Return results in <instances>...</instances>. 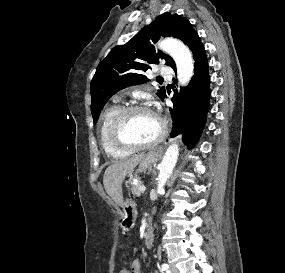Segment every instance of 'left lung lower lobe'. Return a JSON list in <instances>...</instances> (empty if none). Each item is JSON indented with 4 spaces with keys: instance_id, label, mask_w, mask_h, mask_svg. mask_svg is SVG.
Returning a JSON list of instances; mask_svg holds the SVG:
<instances>
[{
    "instance_id": "left-lung-lower-lobe-1",
    "label": "left lung lower lobe",
    "mask_w": 285,
    "mask_h": 273,
    "mask_svg": "<svg viewBox=\"0 0 285 273\" xmlns=\"http://www.w3.org/2000/svg\"><path fill=\"white\" fill-rule=\"evenodd\" d=\"M195 60L194 76L187 87L175 91L170 113L173 121L171 137L182 134L184 143L192 147L198 140L205 125L209 108L210 77L205 49L196 32H193L186 44ZM176 72V66L172 67ZM166 96V95H165Z\"/></svg>"
}]
</instances>
